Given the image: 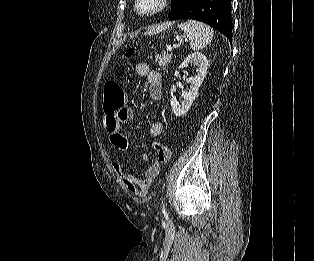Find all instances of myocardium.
<instances>
[{
	"label": "myocardium",
	"mask_w": 314,
	"mask_h": 261,
	"mask_svg": "<svg viewBox=\"0 0 314 261\" xmlns=\"http://www.w3.org/2000/svg\"><path fill=\"white\" fill-rule=\"evenodd\" d=\"M140 1L141 0H134V10L142 16H152L158 13L163 12L170 4L171 0H158L155 7L149 10H143L140 8Z\"/></svg>",
	"instance_id": "f54148a6"
}]
</instances>
